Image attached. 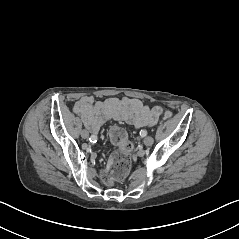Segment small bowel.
I'll return each mask as SVG.
<instances>
[{"label":"small bowel","instance_id":"c3829d8e","mask_svg":"<svg viewBox=\"0 0 239 239\" xmlns=\"http://www.w3.org/2000/svg\"><path fill=\"white\" fill-rule=\"evenodd\" d=\"M73 110L92 133L110 120L124 121L136 128L150 127L157 123L163 111L160 106L149 108L139 99L123 97L95 101L91 96L78 99Z\"/></svg>","mask_w":239,"mask_h":239}]
</instances>
